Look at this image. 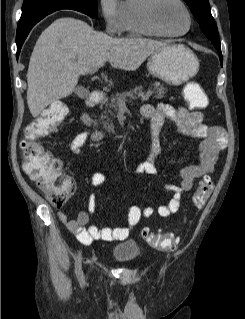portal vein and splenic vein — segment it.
I'll return each instance as SVG.
<instances>
[{"label": "portal vein and splenic vein", "mask_w": 245, "mask_h": 319, "mask_svg": "<svg viewBox=\"0 0 245 319\" xmlns=\"http://www.w3.org/2000/svg\"><path fill=\"white\" fill-rule=\"evenodd\" d=\"M97 70H98V68L91 69V70H90V73L93 74V73H95ZM151 94H152V93H151L150 91L147 92L146 95H144L142 99H143V100H147V99L151 96ZM120 106L125 107V106H126V101H125V100L120 101Z\"/></svg>", "instance_id": "18ae733b"}]
</instances>
